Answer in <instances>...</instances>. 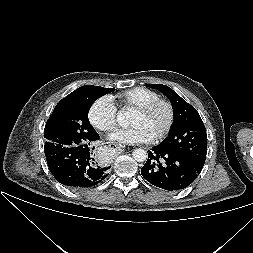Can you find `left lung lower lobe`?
I'll return each instance as SVG.
<instances>
[{
  "mask_svg": "<svg viewBox=\"0 0 253 253\" xmlns=\"http://www.w3.org/2000/svg\"><path fill=\"white\" fill-rule=\"evenodd\" d=\"M202 167L159 146L153 147L141 168L142 176L152 185L167 191L188 187L200 174Z\"/></svg>",
  "mask_w": 253,
  "mask_h": 253,
  "instance_id": "0a47b994",
  "label": "left lung lower lobe"
}]
</instances>
